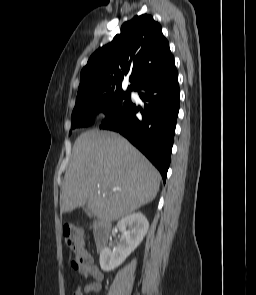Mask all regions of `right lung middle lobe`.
I'll return each instance as SVG.
<instances>
[{
  "mask_svg": "<svg viewBox=\"0 0 256 295\" xmlns=\"http://www.w3.org/2000/svg\"><path fill=\"white\" fill-rule=\"evenodd\" d=\"M131 105L129 93L106 98L77 100L72 112L71 129L90 126L98 112L102 111L106 114V118H112L122 114Z\"/></svg>",
  "mask_w": 256,
  "mask_h": 295,
  "instance_id": "dd1d6c3e",
  "label": "right lung middle lobe"
}]
</instances>
